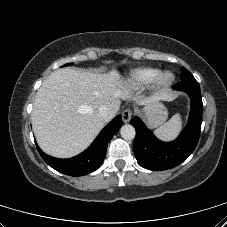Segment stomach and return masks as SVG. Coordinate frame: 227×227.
<instances>
[{"label":"stomach","instance_id":"0dacf381","mask_svg":"<svg viewBox=\"0 0 227 227\" xmlns=\"http://www.w3.org/2000/svg\"><path fill=\"white\" fill-rule=\"evenodd\" d=\"M147 122L151 127L161 125L167 118L166 108L158 101H152L146 107Z\"/></svg>","mask_w":227,"mask_h":227}]
</instances>
